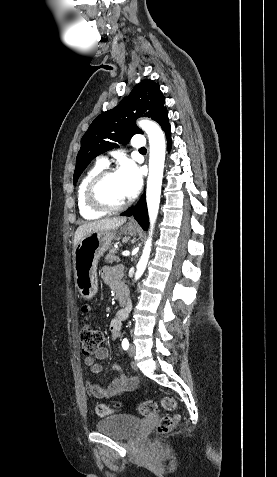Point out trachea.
I'll return each mask as SVG.
<instances>
[{"label":"trachea","mask_w":277,"mask_h":477,"mask_svg":"<svg viewBox=\"0 0 277 477\" xmlns=\"http://www.w3.org/2000/svg\"><path fill=\"white\" fill-rule=\"evenodd\" d=\"M139 151L143 152V151H146V148H141Z\"/></svg>","instance_id":"3493384b"}]
</instances>
